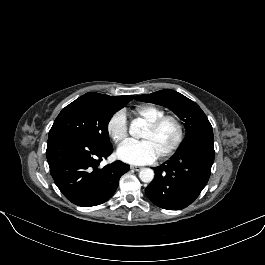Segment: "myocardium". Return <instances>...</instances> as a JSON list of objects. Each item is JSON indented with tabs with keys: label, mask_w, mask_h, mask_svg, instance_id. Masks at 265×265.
<instances>
[{
	"label": "myocardium",
	"mask_w": 265,
	"mask_h": 265,
	"mask_svg": "<svg viewBox=\"0 0 265 265\" xmlns=\"http://www.w3.org/2000/svg\"><path fill=\"white\" fill-rule=\"evenodd\" d=\"M166 121H173L177 127L178 134L175 142L166 149L163 153H161L158 157L161 159H164L170 155H172L174 152H176L179 147L182 145L184 139H185V127L182 122V120L173 114H165L156 120L147 123L146 128L150 131H156L158 130Z\"/></svg>",
	"instance_id": "obj_1"
}]
</instances>
